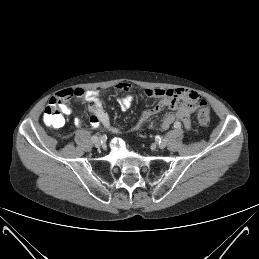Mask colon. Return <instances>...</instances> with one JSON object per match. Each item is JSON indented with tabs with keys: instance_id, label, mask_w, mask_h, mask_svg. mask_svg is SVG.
Segmentation results:
<instances>
[{
	"instance_id": "obj_1",
	"label": "colon",
	"mask_w": 259,
	"mask_h": 259,
	"mask_svg": "<svg viewBox=\"0 0 259 259\" xmlns=\"http://www.w3.org/2000/svg\"><path fill=\"white\" fill-rule=\"evenodd\" d=\"M197 102L199 106L198 122L201 126H207L210 121L209 108L203 99L199 98ZM62 113L63 111L61 108V101L57 99H51L44 110L43 120L45 124L49 126L60 127L64 122Z\"/></svg>"
}]
</instances>
